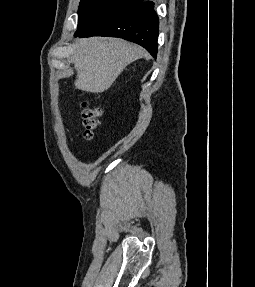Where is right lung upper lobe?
<instances>
[{"instance_id": "1", "label": "right lung upper lobe", "mask_w": 255, "mask_h": 287, "mask_svg": "<svg viewBox=\"0 0 255 287\" xmlns=\"http://www.w3.org/2000/svg\"><path fill=\"white\" fill-rule=\"evenodd\" d=\"M137 1H138V0H131L132 3H135V2H137Z\"/></svg>"}]
</instances>
